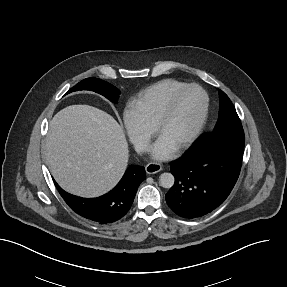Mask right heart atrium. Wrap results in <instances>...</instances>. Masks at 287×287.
Returning <instances> with one entry per match:
<instances>
[{
    "instance_id": "1",
    "label": "right heart atrium",
    "mask_w": 287,
    "mask_h": 287,
    "mask_svg": "<svg viewBox=\"0 0 287 287\" xmlns=\"http://www.w3.org/2000/svg\"><path fill=\"white\" fill-rule=\"evenodd\" d=\"M123 123L127 135L135 148L141 152L145 151L152 137V130L146 128L128 110L124 113Z\"/></svg>"
}]
</instances>
